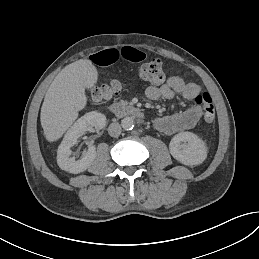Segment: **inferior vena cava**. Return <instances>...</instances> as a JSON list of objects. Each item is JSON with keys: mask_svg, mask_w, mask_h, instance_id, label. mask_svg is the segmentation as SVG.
I'll use <instances>...</instances> for the list:
<instances>
[{"mask_svg": "<svg viewBox=\"0 0 259 259\" xmlns=\"http://www.w3.org/2000/svg\"><path fill=\"white\" fill-rule=\"evenodd\" d=\"M108 133L112 137H118L121 133V126L119 123H111L108 128Z\"/></svg>", "mask_w": 259, "mask_h": 259, "instance_id": "inferior-vena-cava-1", "label": "inferior vena cava"}]
</instances>
